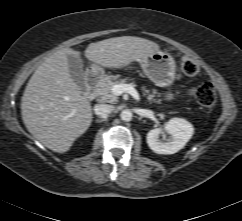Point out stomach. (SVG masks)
Returning a JSON list of instances; mask_svg holds the SVG:
<instances>
[{"mask_svg": "<svg viewBox=\"0 0 242 221\" xmlns=\"http://www.w3.org/2000/svg\"><path fill=\"white\" fill-rule=\"evenodd\" d=\"M141 67L144 74L155 83L156 86L167 87L175 80L176 63L174 58L162 51H155L146 56Z\"/></svg>", "mask_w": 242, "mask_h": 221, "instance_id": "obj_1", "label": "stomach"}]
</instances>
